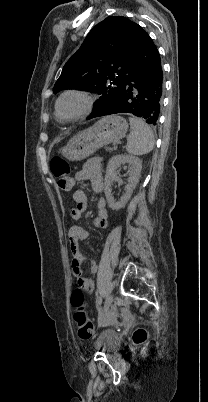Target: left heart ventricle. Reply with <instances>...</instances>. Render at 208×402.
I'll return each instance as SVG.
<instances>
[{"label": "left heart ventricle", "instance_id": "1", "mask_svg": "<svg viewBox=\"0 0 208 402\" xmlns=\"http://www.w3.org/2000/svg\"><path fill=\"white\" fill-rule=\"evenodd\" d=\"M87 101L81 95H68L59 104L60 114L64 117H72L81 113L86 107Z\"/></svg>", "mask_w": 208, "mask_h": 402}]
</instances>
